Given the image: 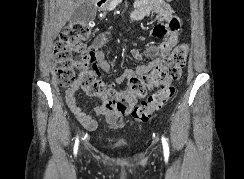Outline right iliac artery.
I'll return each mask as SVG.
<instances>
[{
    "label": "right iliac artery",
    "instance_id": "1",
    "mask_svg": "<svg viewBox=\"0 0 244 179\" xmlns=\"http://www.w3.org/2000/svg\"><path fill=\"white\" fill-rule=\"evenodd\" d=\"M78 143H79V140H78V138H77V139H76V142H75V146H74V154H77Z\"/></svg>",
    "mask_w": 244,
    "mask_h": 179
}]
</instances>
